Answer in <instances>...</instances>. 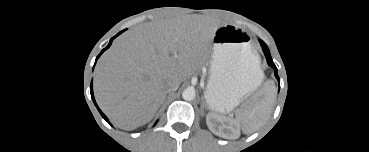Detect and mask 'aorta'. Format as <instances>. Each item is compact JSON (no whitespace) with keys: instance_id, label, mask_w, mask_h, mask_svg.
<instances>
[{"instance_id":"aorta-1","label":"aorta","mask_w":369,"mask_h":152,"mask_svg":"<svg viewBox=\"0 0 369 152\" xmlns=\"http://www.w3.org/2000/svg\"><path fill=\"white\" fill-rule=\"evenodd\" d=\"M196 92L194 88L188 87L182 93V98L186 101H191L195 98Z\"/></svg>"}]
</instances>
